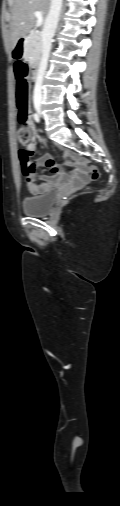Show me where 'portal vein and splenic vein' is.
<instances>
[{"mask_svg":"<svg viewBox=\"0 0 120 506\" xmlns=\"http://www.w3.org/2000/svg\"><path fill=\"white\" fill-rule=\"evenodd\" d=\"M35 16L37 18V21H36V26L37 27H40L42 24H43V16H42V13L40 11H36L35 13Z\"/></svg>","mask_w":120,"mask_h":506,"instance_id":"obj_1","label":"portal vein and splenic vein"}]
</instances>
